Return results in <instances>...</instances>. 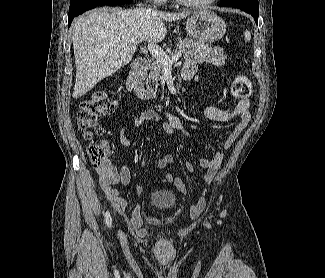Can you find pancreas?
Segmentation results:
<instances>
[{"label":"pancreas","instance_id":"1","mask_svg":"<svg viewBox=\"0 0 325 278\" xmlns=\"http://www.w3.org/2000/svg\"><path fill=\"white\" fill-rule=\"evenodd\" d=\"M183 55L184 58H194L198 63H210L214 65H223L227 58L224 50L220 47H209L202 42L193 41L192 39L178 38L176 49L171 54ZM164 72V66L155 61L149 68L148 76L145 78L146 90L140 92L142 99H153L156 97V88H152L151 85L158 86V82Z\"/></svg>","mask_w":325,"mask_h":278}]
</instances>
